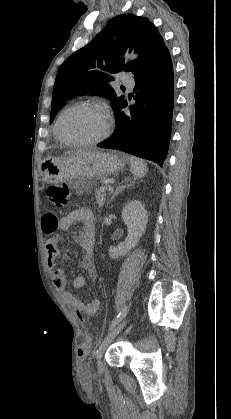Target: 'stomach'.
Masks as SVG:
<instances>
[{
    "instance_id": "0dacf381",
    "label": "stomach",
    "mask_w": 231,
    "mask_h": 419,
    "mask_svg": "<svg viewBox=\"0 0 231 419\" xmlns=\"http://www.w3.org/2000/svg\"><path fill=\"white\" fill-rule=\"evenodd\" d=\"M125 162L121 154L90 150L46 158L40 165V175L48 184L70 181L78 193H83L97 180L117 173Z\"/></svg>"
}]
</instances>
